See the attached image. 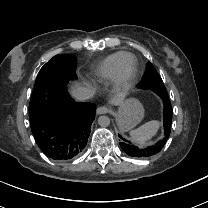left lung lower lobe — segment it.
Masks as SVG:
<instances>
[{"mask_svg": "<svg viewBox=\"0 0 208 208\" xmlns=\"http://www.w3.org/2000/svg\"><path fill=\"white\" fill-rule=\"evenodd\" d=\"M164 104V138L157 141L154 145L148 147H138L132 144L130 141L122 138L121 135L119 137L122 139L120 142V146L122 150L130 157L133 158H149L159 153L164 147L171 131V123H172V106L168 97H161Z\"/></svg>", "mask_w": 208, "mask_h": 208, "instance_id": "left-lung-lower-lobe-1", "label": "left lung lower lobe"}]
</instances>
